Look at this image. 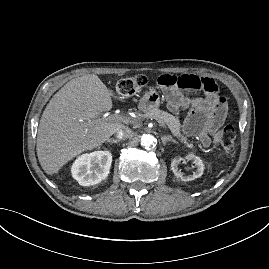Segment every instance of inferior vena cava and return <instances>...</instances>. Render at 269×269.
Listing matches in <instances>:
<instances>
[{
	"label": "inferior vena cava",
	"instance_id": "1",
	"mask_svg": "<svg viewBox=\"0 0 269 269\" xmlns=\"http://www.w3.org/2000/svg\"><path fill=\"white\" fill-rule=\"evenodd\" d=\"M131 134H132V131L130 128L123 127L121 129H118L115 132V137L120 140V139L128 138Z\"/></svg>",
	"mask_w": 269,
	"mask_h": 269
}]
</instances>
